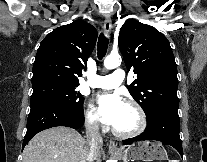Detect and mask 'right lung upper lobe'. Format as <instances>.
Masks as SVG:
<instances>
[{"label": "right lung upper lobe", "mask_w": 207, "mask_h": 162, "mask_svg": "<svg viewBox=\"0 0 207 162\" xmlns=\"http://www.w3.org/2000/svg\"><path fill=\"white\" fill-rule=\"evenodd\" d=\"M96 38V29L83 20L54 29L43 39L37 51L32 86H79L78 77L82 74L81 69L87 65Z\"/></svg>", "instance_id": "1"}]
</instances>
